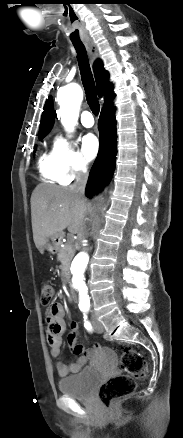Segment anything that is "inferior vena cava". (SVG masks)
<instances>
[{
  "instance_id": "602c4592",
  "label": "inferior vena cava",
  "mask_w": 183,
  "mask_h": 438,
  "mask_svg": "<svg viewBox=\"0 0 183 438\" xmlns=\"http://www.w3.org/2000/svg\"><path fill=\"white\" fill-rule=\"evenodd\" d=\"M88 180V172L85 168L76 172L75 182L70 186V189L75 191L82 199H85V187ZM84 233V230L81 232Z\"/></svg>"
}]
</instances>
